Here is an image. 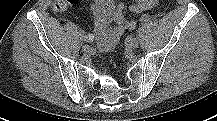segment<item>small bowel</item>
Masks as SVG:
<instances>
[{
  "label": "small bowel",
  "instance_id": "small-bowel-1",
  "mask_svg": "<svg viewBox=\"0 0 217 121\" xmlns=\"http://www.w3.org/2000/svg\"><path fill=\"white\" fill-rule=\"evenodd\" d=\"M158 4V0H134L129 10L141 13ZM125 4L121 0H93L90 6L95 22V34L101 51L111 50L127 30L136 28V21L124 15ZM113 24V26H110Z\"/></svg>",
  "mask_w": 217,
  "mask_h": 121
}]
</instances>
